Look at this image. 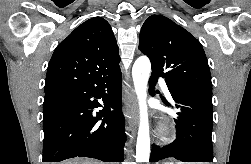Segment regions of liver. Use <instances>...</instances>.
<instances>
[{
	"label": "liver",
	"mask_w": 251,
	"mask_h": 164,
	"mask_svg": "<svg viewBox=\"0 0 251 164\" xmlns=\"http://www.w3.org/2000/svg\"><path fill=\"white\" fill-rule=\"evenodd\" d=\"M60 164H103V163L91 159L75 158Z\"/></svg>",
	"instance_id": "obj_1"
}]
</instances>
